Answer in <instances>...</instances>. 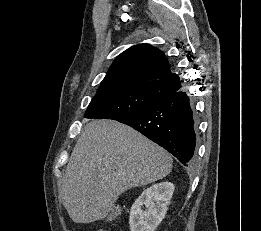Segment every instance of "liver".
<instances>
[{"mask_svg":"<svg viewBox=\"0 0 261 231\" xmlns=\"http://www.w3.org/2000/svg\"><path fill=\"white\" fill-rule=\"evenodd\" d=\"M171 170V155L136 130L113 120H93L69 159L63 205L75 223L102 220L120 194L163 179Z\"/></svg>","mask_w":261,"mask_h":231,"instance_id":"liver-1","label":"liver"}]
</instances>
